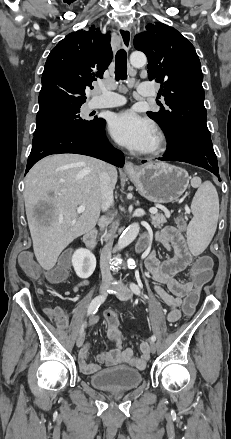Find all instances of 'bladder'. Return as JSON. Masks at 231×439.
Masks as SVG:
<instances>
[{"label":"bladder","mask_w":231,"mask_h":439,"mask_svg":"<svg viewBox=\"0 0 231 439\" xmlns=\"http://www.w3.org/2000/svg\"><path fill=\"white\" fill-rule=\"evenodd\" d=\"M143 380L141 372L127 366H117L98 371L89 376V383L98 389L127 391L138 387Z\"/></svg>","instance_id":"1"}]
</instances>
